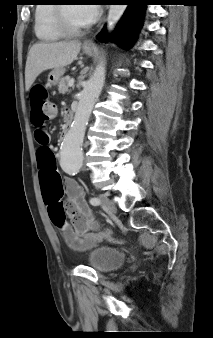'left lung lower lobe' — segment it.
<instances>
[{"instance_id":"left-lung-lower-lobe-1","label":"left lung lower lobe","mask_w":213,"mask_h":338,"mask_svg":"<svg viewBox=\"0 0 213 338\" xmlns=\"http://www.w3.org/2000/svg\"><path fill=\"white\" fill-rule=\"evenodd\" d=\"M128 5L122 19L115 32L109 37L110 40H119V45L123 48L130 47L142 26L144 10L148 0H119ZM100 40L106 41L105 29L99 36Z\"/></svg>"}]
</instances>
